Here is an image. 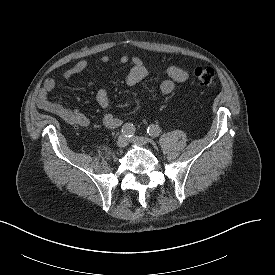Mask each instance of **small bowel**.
<instances>
[{
  "label": "small bowel",
  "mask_w": 275,
  "mask_h": 275,
  "mask_svg": "<svg viewBox=\"0 0 275 275\" xmlns=\"http://www.w3.org/2000/svg\"><path fill=\"white\" fill-rule=\"evenodd\" d=\"M102 63H108L110 61L109 55H103L101 57ZM119 61L123 64L132 63V67L125 77V83L128 86H134L146 78L149 74L148 67L143 63L142 59L133 56L129 58L127 55H122L119 58ZM89 65L87 59H81L76 64H74L69 69L65 70L61 77L64 80H68L73 76L83 72ZM167 77L163 79L160 83V91L164 95L171 94L176 83H183L188 80L189 74L186 70L178 66H168L165 69ZM56 87V80L54 78H47L41 88L37 102L38 105L45 109L46 111L58 116L63 121L73 125L84 127L87 126L90 122L88 116L76 108H67L60 104L50 102L47 98L48 94ZM96 101L98 105L105 110L103 114V123L109 129H117L122 121L119 117L115 116L113 113L107 110L109 106V94L108 91L104 88L99 89L96 94Z\"/></svg>",
  "instance_id": "small-bowel-1"
}]
</instances>
